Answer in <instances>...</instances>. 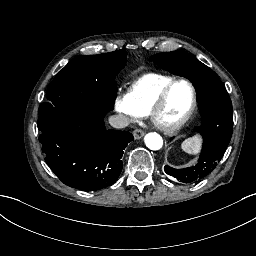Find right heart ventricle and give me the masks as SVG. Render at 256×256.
Here are the masks:
<instances>
[{
    "label": "right heart ventricle",
    "mask_w": 256,
    "mask_h": 256,
    "mask_svg": "<svg viewBox=\"0 0 256 256\" xmlns=\"http://www.w3.org/2000/svg\"><path fill=\"white\" fill-rule=\"evenodd\" d=\"M153 81L136 86L132 91V97L138 98L143 104L153 102L157 96L173 81L174 76H153Z\"/></svg>",
    "instance_id": "obj_1"
}]
</instances>
